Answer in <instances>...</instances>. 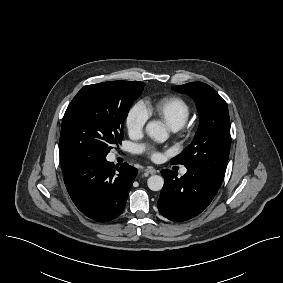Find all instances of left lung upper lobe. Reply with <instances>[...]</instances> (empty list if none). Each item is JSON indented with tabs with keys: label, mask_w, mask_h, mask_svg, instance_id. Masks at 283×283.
Segmentation results:
<instances>
[{
	"label": "left lung upper lobe",
	"mask_w": 283,
	"mask_h": 283,
	"mask_svg": "<svg viewBox=\"0 0 283 283\" xmlns=\"http://www.w3.org/2000/svg\"><path fill=\"white\" fill-rule=\"evenodd\" d=\"M175 91L190 95L196 103L200 125L193 142L172 164H183L222 183L230 152V119L226 102L209 85L191 82L174 86Z\"/></svg>",
	"instance_id": "5c2ea615"
}]
</instances>
